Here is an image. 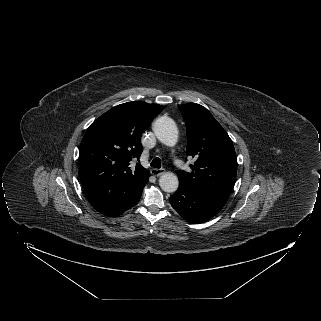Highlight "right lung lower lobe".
Returning <instances> with one entry per match:
<instances>
[{
	"mask_svg": "<svg viewBox=\"0 0 321 321\" xmlns=\"http://www.w3.org/2000/svg\"><path fill=\"white\" fill-rule=\"evenodd\" d=\"M141 193H137L132 197L120 199H110L104 202H91L94 209L106 216H118L137 204L141 197Z\"/></svg>",
	"mask_w": 321,
	"mask_h": 321,
	"instance_id": "obj_1",
	"label": "right lung lower lobe"
}]
</instances>
